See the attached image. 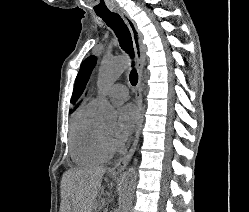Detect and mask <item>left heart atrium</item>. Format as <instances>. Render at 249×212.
<instances>
[{
  "label": "left heart atrium",
  "instance_id": "obj_1",
  "mask_svg": "<svg viewBox=\"0 0 249 212\" xmlns=\"http://www.w3.org/2000/svg\"><path fill=\"white\" fill-rule=\"evenodd\" d=\"M137 119V110L132 104L120 107L117 121L110 135V143L114 149L119 150L123 148L134 130Z\"/></svg>",
  "mask_w": 249,
  "mask_h": 212
}]
</instances>
